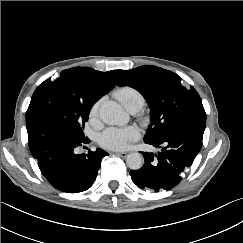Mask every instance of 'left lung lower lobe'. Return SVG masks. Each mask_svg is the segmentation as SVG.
Here are the masks:
<instances>
[{
	"instance_id": "1",
	"label": "left lung lower lobe",
	"mask_w": 243,
	"mask_h": 243,
	"mask_svg": "<svg viewBox=\"0 0 243 243\" xmlns=\"http://www.w3.org/2000/svg\"><path fill=\"white\" fill-rule=\"evenodd\" d=\"M205 125L206 114L190 116L173 125L160 140L144 141L162 149L157 154L142 152L145 163L130 171L132 181L155 192L174 188L201 149Z\"/></svg>"
}]
</instances>
